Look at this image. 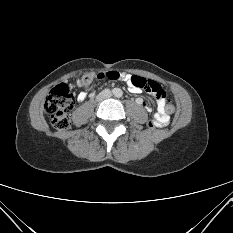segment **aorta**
<instances>
[{
    "instance_id": "obj_1",
    "label": "aorta",
    "mask_w": 233,
    "mask_h": 233,
    "mask_svg": "<svg viewBox=\"0 0 233 233\" xmlns=\"http://www.w3.org/2000/svg\"><path fill=\"white\" fill-rule=\"evenodd\" d=\"M113 93H114V95H115L116 97H121L122 94H123L122 90L119 89V88H115L114 91H113Z\"/></svg>"
}]
</instances>
